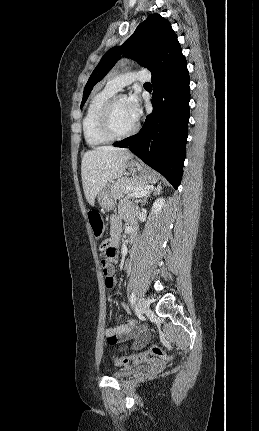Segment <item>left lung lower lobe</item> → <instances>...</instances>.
<instances>
[{"label":"left lung lower lobe","instance_id":"1","mask_svg":"<svg viewBox=\"0 0 259 431\" xmlns=\"http://www.w3.org/2000/svg\"><path fill=\"white\" fill-rule=\"evenodd\" d=\"M151 73L153 112L138 134L114 146L129 148L177 189L185 160L190 101L187 62L178 41Z\"/></svg>","mask_w":259,"mask_h":431}]
</instances>
